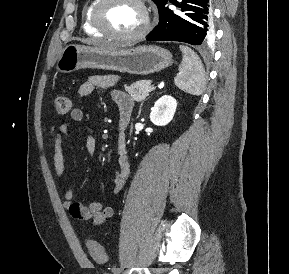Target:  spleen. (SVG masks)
<instances>
[{"label":"spleen","instance_id":"1","mask_svg":"<svg viewBox=\"0 0 289 274\" xmlns=\"http://www.w3.org/2000/svg\"><path fill=\"white\" fill-rule=\"evenodd\" d=\"M183 53L179 73L176 75L175 85L192 95H200L205 88V71L199 56L189 47L181 45Z\"/></svg>","mask_w":289,"mask_h":274}]
</instances>
